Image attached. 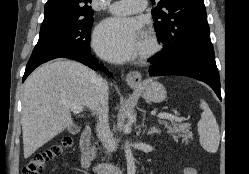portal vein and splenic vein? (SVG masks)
Masks as SVG:
<instances>
[{"mask_svg": "<svg viewBox=\"0 0 249 174\" xmlns=\"http://www.w3.org/2000/svg\"><path fill=\"white\" fill-rule=\"evenodd\" d=\"M69 108L73 111V113L75 114H79L81 112H83V109L84 107L81 106V105H76V104H70L69 105ZM157 117L159 119H167V120H170V121H176V122H181L183 121L184 119L183 118H179V117H176L172 114H169V113H159L157 115Z\"/></svg>", "mask_w": 249, "mask_h": 174, "instance_id": "1", "label": "portal vein and splenic vein"}]
</instances>
